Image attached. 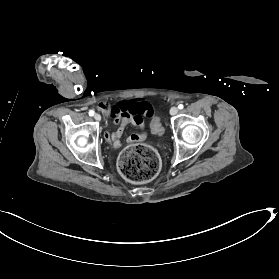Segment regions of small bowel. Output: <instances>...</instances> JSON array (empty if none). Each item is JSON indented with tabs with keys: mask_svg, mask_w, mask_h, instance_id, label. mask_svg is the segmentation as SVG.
I'll use <instances>...</instances> for the list:
<instances>
[{
	"mask_svg": "<svg viewBox=\"0 0 279 279\" xmlns=\"http://www.w3.org/2000/svg\"><path fill=\"white\" fill-rule=\"evenodd\" d=\"M109 114L117 125L113 132H105V139L111 147L118 149L121 146V138L128 125L139 128V132L127 138V142L135 143L142 141L146 137L144 125L147 120L154 117V109L151 102L146 100H136L131 103L121 102L111 107Z\"/></svg>",
	"mask_w": 279,
	"mask_h": 279,
	"instance_id": "c3829d8e",
	"label": "small bowel"
}]
</instances>
